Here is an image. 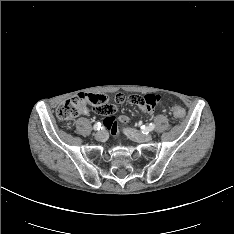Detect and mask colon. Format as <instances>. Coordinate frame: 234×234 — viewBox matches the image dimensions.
<instances>
[{"mask_svg": "<svg viewBox=\"0 0 234 234\" xmlns=\"http://www.w3.org/2000/svg\"><path fill=\"white\" fill-rule=\"evenodd\" d=\"M88 95L90 94L80 93L63 101L57 108V117L62 121H69L77 117L80 113L89 111L88 104L86 102ZM173 115L178 120L182 119L185 116V110L180 106H174Z\"/></svg>", "mask_w": 234, "mask_h": 234, "instance_id": "1", "label": "colon"}]
</instances>
